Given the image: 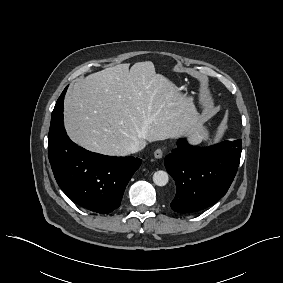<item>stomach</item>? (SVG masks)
<instances>
[{
    "mask_svg": "<svg viewBox=\"0 0 283 283\" xmlns=\"http://www.w3.org/2000/svg\"><path fill=\"white\" fill-rule=\"evenodd\" d=\"M198 136L201 141H207L209 139V134L207 129L201 124L198 128Z\"/></svg>",
    "mask_w": 283,
    "mask_h": 283,
    "instance_id": "1",
    "label": "stomach"
}]
</instances>
